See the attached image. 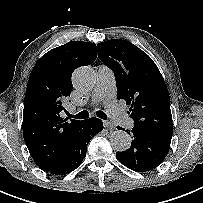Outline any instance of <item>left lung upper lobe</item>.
Returning a JSON list of instances; mask_svg holds the SVG:
<instances>
[{"mask_svg":"<svg viewBox=\"0 0 203 203\" xmlns=\"http://www.w3.org/2000/svg\"><path fill=\"white\" fill-rule=\"evenodd\" d=\"M98 56L114 72L117 98L130 105L134 127L172 138L169 94L154 61L126 40L99 43Z\"/></svg>","mask_w":203,"mask_h":203,"instance_id":"5c2ea615","label":"left lung upper lobe"}]
</instances>
